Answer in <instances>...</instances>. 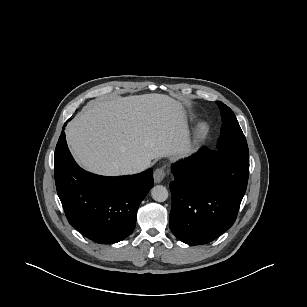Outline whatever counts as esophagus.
<instances>
[{
  "label": "esophagus",
  "mask_w": 307,
  "mask_h": 307,
  "mask_svg": "<svg viewBox=\"0 0 307 307\" xmlns=\"http://www.w3.org/2000/svg\"><path fill=\"white\" fill-rule=\"evenodd\" d=\"M153 178H154V182H155V183H160V182H162L163 179L165 178V167L157 168V169L154 171Z\"/></svg>",
  "instance_id": "esophagus-1"
}]
</instances>
